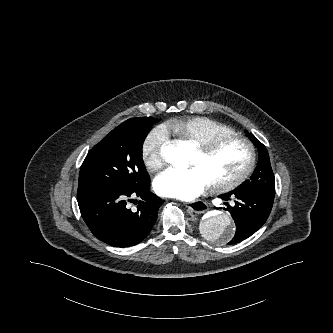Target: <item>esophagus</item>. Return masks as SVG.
Instances as JSON below:
<instances>
[{
  "label": "esophagus",
  "mask_w": 333,
  "mask_h": 333,
  "mask_svg": "<svg viewBox=\"0 0 333 333\" xmlns=\"http://www.w3.org/2000/svg\"><path fill=\"white\" fill-rule=\"evenodd\" d=\"M184 205L192 212L196 214L204 213L207 210V205L200 201L186 202Z\"/></svg>",
  "instance_id": "esophagus-1"
}]
</instances>
